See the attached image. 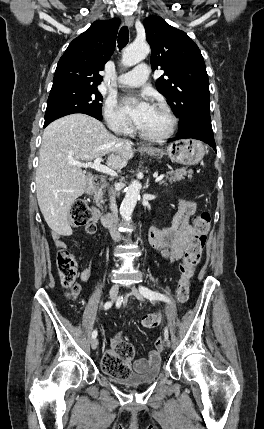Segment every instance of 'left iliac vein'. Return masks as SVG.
Segmentation results:
<instances>
[{"label":"left iliac vein","instance_id":"1","mask_svg":"<svg viewBox=\"0 0 264 429\" xmlns=\"http://www.w3.org/2000/svg\"><path fill=\"white\" fill-rule=\"evenodd\" d=\"M131 292L132 294L139 300H143V295L141 294V292L137 289V287L135 285H131L130 286ZM166 345L167 347L170 346V342L168 341V339H166Z\"/></svg>","mask_w":264,"mask_h":429}]
</instances>
